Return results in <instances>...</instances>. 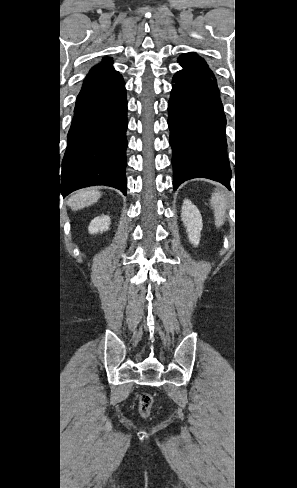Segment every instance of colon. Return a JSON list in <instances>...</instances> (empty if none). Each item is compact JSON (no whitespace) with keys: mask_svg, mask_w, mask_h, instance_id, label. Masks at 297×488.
Segmentation results:
<instances>
[{"mask_svg":"<svg viewBox=\"0 0 297 488\" xmlns=\"http://www.w3.org/2000/svg\"><path fill=\"white\" fill-rule=\"evenodd\" d=\"M153 406V397L149 393H142L139 397V413L143 418L149 417Z\"/></svg>","mask_w":297,"mask_h":488,"instance_id":"1","label":"colon"}]
</instances>
